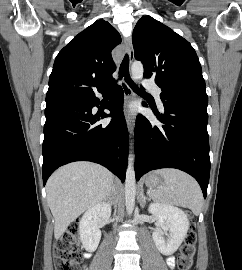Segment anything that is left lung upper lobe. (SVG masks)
I'll list each match as a JSON object with an SVG mask.
<instances>
[{
	"mask_svg": "<svg viewBox=\"0 0 242 270\" xmlns=\"http://www.w3.org/2000/svg\"><path fill=\"white\" fill-rule=\"evenodd\" d=\"M135 58L144 65V78H154L163 104L208 103L205 81L191 44L150 16L133 31Z\"/></svg>",
	"mask_w": 242,
	"mask_h": 270,
	"instance_id": "1",
	"label": "left lung upper lobe"
}]
</instances>
